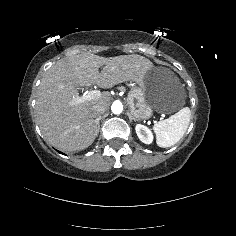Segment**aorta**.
<instances>
[{
    "label": "aorta",
    "instance_id": "obj_1",
    "mask_svg": "<svg viewBox=\"0 0 236 236\" xmlns=\"http://www.w3.org/2000/svg\"><path fill=\"white\" fill-rule=\"evenodd\" d=\"M111 110L114 114H120L123 111V105L120 101H115L112 106Z\"/></svg>",
    "mask_w": 236,
    "mask_h": 236
}]
</instances>
